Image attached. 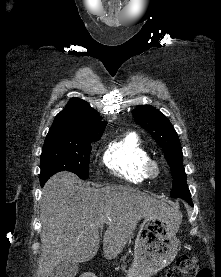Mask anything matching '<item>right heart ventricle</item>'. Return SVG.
Wrapping results in <instances>:
<instances>
[{
    "label": "right heart ventricle",
    "mask_w": 221,
    "mask_h": 277,
    "mask_svg": "<svg viewBox=\"0 0 221 277\" xmlns=\"http://www.w3.org/2000/svg\"><path fill=\"white\" fill-rule=\"evenodd\" d=\"M149 158V152L140 137L129 132L108 146L103 162L118 177L139 183L148 179L144 165Z\"/></svg>",
    "instance_id": "obj_1"
}]
</instances>
